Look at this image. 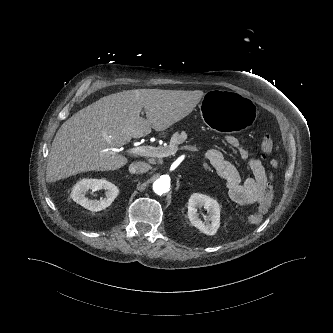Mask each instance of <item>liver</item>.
I'll use <instances>...</instances> for the list:
<instances>
[{"label": "liver", "mask_w": 333, "mask_h": 333, "mask_svg": "<svg viewBox=\"0 0 333 333\" xmlns=\"http://www.w3.org/2000/svg\"><path fill=\"white\" fill-rule=\"evenodd\" d=\"M200 90H126L102 97L59 128L49 153L46 180L58 181L87 171L117 170L128 159L113 149L151 132L164 131L189 115ZM146 119L140 116L142 109Z\"/></svg>", "instance_id": "obj_1"}]
</instances>
